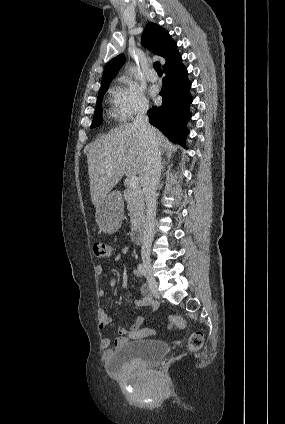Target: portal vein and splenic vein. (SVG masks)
Returning <instances> with one entry per match:
<instances>
[{"instance_id": "1", "label": "portal vein and splenic vein", "mask_w": 285, "mask_h": 424, "mask_svg": "<svg viewBox=\"0 0 285 424\" xmlns=\"http://www.w3.org/2000/svg\"><path fill=\"white\" fill-rule=\"evenodd\" d=\"M128 186L133 188V189L138 188L139 187V178L135 175L131 176L128 179Z\"/></svg>"}]
</instances>
